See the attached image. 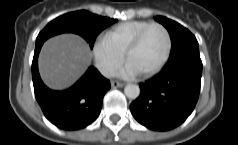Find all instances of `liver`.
Returning a JSON list of instances; mask_svg holds the SVG:
<instances>
[{"label":"liver","instance_id":"liver-1","mask_svg":"<svg viewBox=\"0 0 238 145\" xmlns=\"http://www.w3.org/2000/svg\"><path fill=\"white\" fill-rule=\"evenodd\" d=\"M90 61L89 46L81 37L62 34L44 43L39 56V71L49 88L63 90L85 73Z\"/></svg>","mask_w":238,"mask_h":145}]
</instances>
